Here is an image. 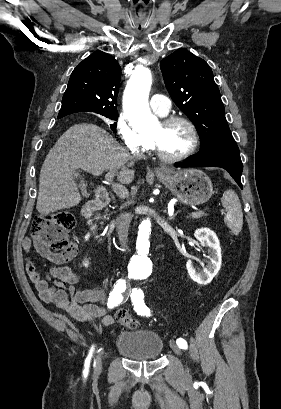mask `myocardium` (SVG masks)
I'll list each match as a JSON object with an SVG mask.
<instances>
[{
  "instance_id": "obj_1",
  "label": "myocardium",
  "mask_w": 281,
  "mask_h": 409,
  "mask_svg": "<svg viewBox=\"0 0 281 409\" xmlns=\"http://www.w3.org/2000/svg\"><path fill=\"white\" fill-rule=\"evenodd\" d=\"M175 122H180L184 124L190 133L189 147L187 148L185 152H183L180 155H175V156L166 155L158 148L154 139L148 136L144 137L146 148L150 150L160 160L167 162V163H177V162L186 160L187 158H189L195 153L198 147V143H199L197 129L195 125L187 117L181 116V115H170V116H166L162 118L159 123L162 127H165Z\"/></svg>"
}]
</instances>
